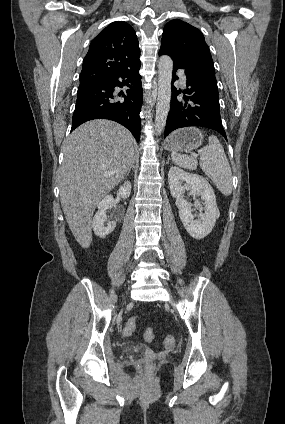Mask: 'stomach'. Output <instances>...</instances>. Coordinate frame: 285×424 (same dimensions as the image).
<instances>
[{
    "label": "stomach",
    "mask_w": 285,
    "mask_h": 424,
    "mask_svg": "<svg viewBox=\"0 0 285 424\" xmlns=\"http://www.w3.org/2000/svg\"><path fill=\"white\" fill-rule=\"evenodd\" d=\"M203 134L197 128H184L173 132L166 140V149L172 152H190L202 145Z\"/></svg>",
    "instance_id": "1"
}]
</instances>
